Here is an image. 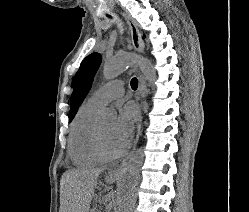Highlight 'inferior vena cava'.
<instances>
[{
    "label": "inferior vena cava",
    "instance_id": "obj_1",
    "mask_svg": "<svg viewBox=\"0 0 249 212\" xmlns=\"http://www.w3.org/2000/svg\"><path fill=\"white\" fill-rule=\"evenodd\" d=\"M124 178H127V176H124ZM124 178H123V180H124Z\"/></svg>",
    "mask_w": 249,
    "mask_h": 212
}]
</instances>
